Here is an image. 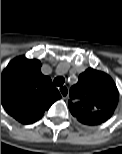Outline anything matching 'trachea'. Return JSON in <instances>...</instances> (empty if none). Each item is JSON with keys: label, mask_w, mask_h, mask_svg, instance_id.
Instances as JSON below:
<instances>
[{"label": "trachea", "mask_w": 122, "mask_h": 154, "mask_svg": "<svg viewBox=\"0 0 122 154\" xmlns=\"http://www.w3.org/2000/svg\"><path fill=\"white\" fill-rule=\"evenodd\" d=\"M64 82H65V79H64V77H61V76L56 77L53 81L55 86H62L64 84Z\"/></svg>", "instance_id": "3493384b"}]
</instances>
